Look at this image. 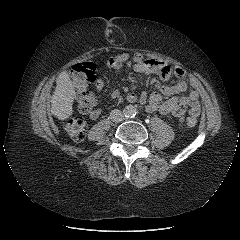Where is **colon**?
I'll return each instance as SVG.
<instances>
[{
    "label": "colon",
    "instance_id": "1",
    "mask_svg": "<svg viewBox=\"0 0 240 240\" xmlns=\"http://www.w3.org/2000/svg\"><path fill=\"white\" fill-rule=\"evenodd\" d=\"M70 75L76 88V99L79 109L84 114H90L95 109V98L89 92V87L95 81V65L92 62H81L71 67ZM186 123L189 127L197 124V119L188 117ZM67 134L76 142H81L85 137L86 121L81 116L68 120L65 126Z\"/></svg>",
    "mask_w": 240,
    "mask_h": 240
}]
</instances>
